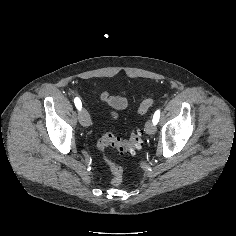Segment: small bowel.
Segmentation results:
<instances>
[{"instance_id": "c3829d8e", "label": "small bowel", "mask_w": 236, "mask_h": 236, "mask_svg": "<svg viewBox=\"0 0 236 236\" xmlns=\"http://www.w3.org/2000/svg\"><path fill=\"white\" fill-rule=\"evenodd\" d=\"M99 97L101 101L105 102L113 109L111 113L113 118H117V112L125 109L128 105L127 97L123 93L111 95L110 93L104 91L100 93Z\"/></svg>"}]
</instances>
